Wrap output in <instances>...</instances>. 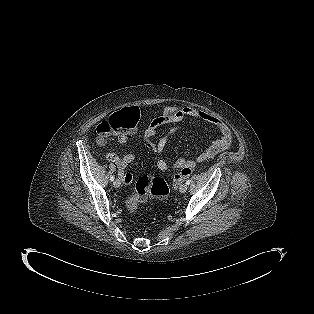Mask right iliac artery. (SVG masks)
<instances>
[{
    "label": "right iliac artery",
    "mask_w": 314,
    "mask_h": 314,
    "mask_svg": "<svg viewBox=\"0 0 314 314\" xmlns=\"http://www.w3.org/2000/svg\"><path fill=\"white\" fill-rule=\"evenodd\" d=\"M114 179H115V177L112 175V176L110 177V180H111V181H114Z\"/></svg>",
    "instance_id": "right-iliac-artery-1"
}]
</instances>
